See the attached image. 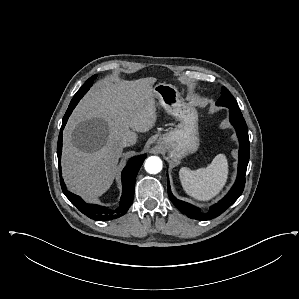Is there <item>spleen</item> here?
Returning <instances> with one entry per match:
<instances>
[{
	"instance_id": "obj_1",
	"label": "spleen",
	"mask_w": 299,
	"mask_h": 299,
	"mask_svg": "<svg viewBox=\"0 0 299 299\" xmlns=\"http://www.w3.org/2000/svg\"><path fill=\"white\" fill-rule=\"evenodd\" d=\"M181 184L191 197L208 201L223 189L228 178V162L224 154L215 156L206 168L190 170L183 167L179 172Z\"/></svg>"
}]
</instances>
